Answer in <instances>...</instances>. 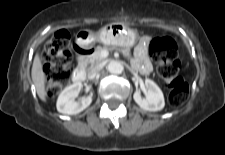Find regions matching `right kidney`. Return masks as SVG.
<instances>
[{
  "instance_id": "ca27d5eb",
  "label": "right kidney",
  "mask_w": 225,
  "mask_h": 155,
  "mask_svg": "<svg viewBox=\"0 0 225 155\" xmlns=\"http://www.w3.org/2000/svg\"><path fill=\"white\" fill-rule=\"evenodd\" d=\"M82 84L76 82L66 87L59 95L56 103L58 112L68 115H74L82 112L92 102V97H83L80 101L76 102L75 98L81 90Z\"/></svg>"
}]
</instances>
